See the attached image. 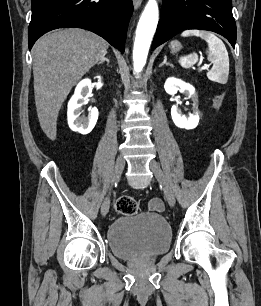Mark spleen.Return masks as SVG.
<instances>
[{"mask_svg": "<svg viewBox=\"0 0 261 306\" xmlns=\"http://www.w3.org/2000/svg\"><path fill=\"white\" fill-rule=\"evenodd\" d=\"M181 36H197L205 40L208 44L207 57L213 67L207 72V77L214 82L226 84L229 75V56L227 49L217 36L203 30L191 29L182 32ZM198 61L196 53L181 57L179 63L184 68H190Z\"/></svg>", "mask_w": 261, "mask_h": 306, "instance_id": "obj_1", "label": "spleen"}]
</instances>
